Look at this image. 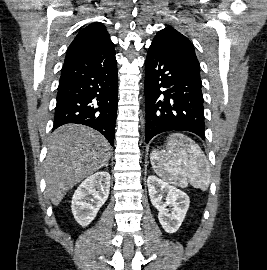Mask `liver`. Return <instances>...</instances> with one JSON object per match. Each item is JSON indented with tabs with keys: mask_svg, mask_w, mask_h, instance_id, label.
Listing matches in <instances>:
<instances>
[{
	"mask_svg": "<svg viewBox=\"0 0 267 270\" xmlns=\"http://www.w3.org/2000/svg\"><path fill=\"white\" fill-rule=\"evenodd\" d=\"M110 151L105 137L92 128L67 124L55 130L44 163L46 193L52 204L59 205L69 190L104 167Z\"/></svg>",
	"mask_w": 267,
	"mask_h": 270,
	"instance_id": "1",
	"label": "liver"
}]
</instances>
